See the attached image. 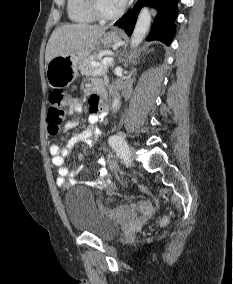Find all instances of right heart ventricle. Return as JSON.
Here are the masks:
<instances>
[{
  "mask_svg": "<svg viewBox=\"0 0 233 284\" xmlns=\"http://www.w3.org/2000/svg\"><path fill=\"white\" fill-rule=\"evenodd\" d=\"M67 14L75 23L89 24L96 20L88 7L87 0H67Z\"/></svg>",
  "mask_w": 233,
  "mask_h": 284,
  "instance_id": "obj_1",
  "label": "right heart ventricle"
}]
</instances>
